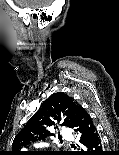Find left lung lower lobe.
Returning a JSON list of instances; mask_svg holds the SVG:
<instances>
[{
    "label": "left lung lower lobe",
    "mask_w": 119,
    "mask_h": 155,
    "mask_svg": "<svg viewBox=\"0 0 119 155\" xmlns=\"http://www.w3.org/2000/svg\"><path fill=\"white\" fill-rule=\"evenodd\" d=\"M73 128L80 137L82 152L79 155H104L98 131L90 115L81 105L77 106Z\"/></svg>",
    "instance_id": "left-lung-lower-lobe-1"
}]
</instances>
